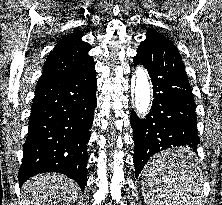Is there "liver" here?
<instances>
[{"mask_svg": "<svg viewBox=\"0 0 222 205\" xmlns=\"http://www.w3.org/2000/svg\"><path fill=\"white\" fill-rule=\"evenodd\" d=\"M78 191L79 186L62 174H40L23 185L22 205H72Z\"/></svg>", "mask_w": 222, "mask_h": 205, "instance_id": "6515ba94", "label": "liver"}]
</instances>
